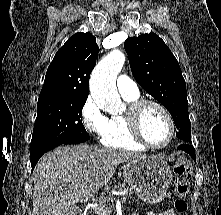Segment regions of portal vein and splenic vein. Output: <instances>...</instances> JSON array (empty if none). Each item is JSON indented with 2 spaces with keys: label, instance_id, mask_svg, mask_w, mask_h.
<instances>
[{
  "label": "portal vein and splenic vein",
  "instance_id": "portal-vein-and-splenic-vein-1",
  "mask_svg": "<svg viewBox=\"0 0 221 215\" xmlns=\"http://www.w3.org/2000/svg\"><path fill=\"white\" fill-rule=\"evenodd\" d=\"M123 195L125 194V193H122ZM125 199V196H122L121 197V200L122 201H125L124 200ZM94 210L99 214V215H106V213L110 210V208H108V207H103V206H95L94 207Z\"/></svg>",
  "mask_w": 221,
  "mask_h": 215
}]
</instances>
